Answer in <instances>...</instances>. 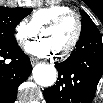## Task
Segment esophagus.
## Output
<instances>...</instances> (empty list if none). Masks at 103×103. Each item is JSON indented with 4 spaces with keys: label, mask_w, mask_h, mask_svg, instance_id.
Returning a JSON list of instances; mask_svg holds the SVG:
<instances>
[{
    "label": "esophagus",
    "mask_w": 103,
    "mask_h": 103,
    "mask_svg": "<svg viewBox=\"0 0 103 103\" xmlns=\"http://www.w3.org/2000/svg\"><path fill=\"white\" fill-rule=\"evenodd\" d=\"M30 60H31V64L32 65H35V64H37L39 62V60L34 58V57H31Z\"/></svg>",
    "instance_id": "obj_1"
}]
</instances>
